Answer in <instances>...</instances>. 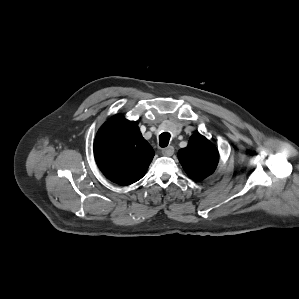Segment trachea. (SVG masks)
Wrapping results in <instances>:
<instances>
[{
	"label": "trachea",
	"instance_id": "trachea-1",
	"mask_svg": "<svg viewBox=\"0 0 299 299\" xmlns=\"http://www.w3.org/2000/svg\"><path fill=\"white\" fill-rule=\"evenodd\" d=\"M169 140H170V134L167 133V132L162 133L159 136V145H160V147H162V148L166 147L169 143Z\"/></svg>",
	"mask_w": 299,
	"mask_h": 299
}]
</instances>
